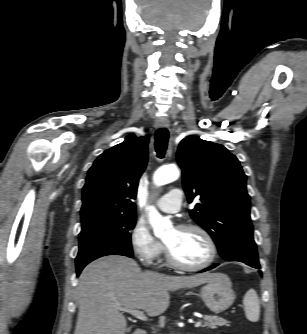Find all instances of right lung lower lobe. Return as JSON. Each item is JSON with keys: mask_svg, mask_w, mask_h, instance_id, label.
Returning <instances> with one entry per match:
<instances>
[{"mask_svg": "<svg viewBox=\"0 0 307 334\" xmlns=\"http://www.w3.org/2000/svg\"><path fill=\"white\" fill-rule=\"evenodd\" d=\"M120 255H124V256H126L125 254H120ZM82 269H83V268H78V269H77V276H79V274H80V272H81Z\"/></svg>", "mask_w": 307, "mask_h": 334, "instance_id": "98d812e1", "label": "right lung lower lobe"}]
</instances>
